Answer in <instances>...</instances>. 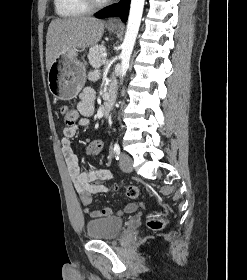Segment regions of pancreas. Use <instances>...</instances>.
Returning <instances> with one entry per match:
<instances>
[{
	"instance_id": "obj_1",
	"label": "pancreas",
	"mask_w": 247,
	"mask_h": 280,
	"mask_svg": "<svg viewBox=\"0 0 247 280\" xmlns=\"http://www.w3.org/2000/svg\"><path fill=\"white\" fill-rule=\"evenodd\" d=\"M105 51L106 48L103 45H96L90 49L88 60L94 68H99L103 64V60L105 59L103 53Z\"/></svg>"
}]
</instances>
